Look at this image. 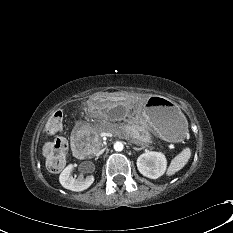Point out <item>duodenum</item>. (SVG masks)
Wrapping results in <instances>:
<instances>
[{
  "instance_id": "1",
  "label": "duodenum",
  "mask_w": 233,
  "mask_h": 233,
  "mask_svg": "<svg viewBox=\"0 0 233 233\" xmlns=\"http://www.w3.org/2000/svg\"><path fill=\"white\" fill-rule=\"evenodd\" d=\"M72 149L74 154L78 158H84L87 155V150L85 148V145L76 138L72 140Z\"/></svg>"
}]
</instances>
